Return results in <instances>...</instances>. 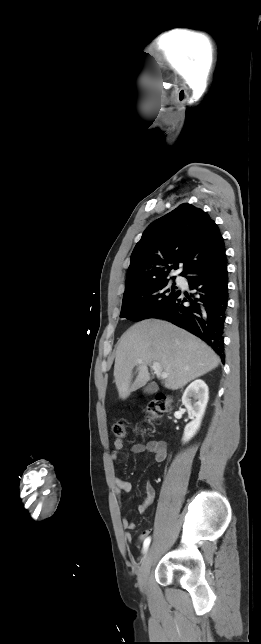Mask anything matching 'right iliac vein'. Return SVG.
Returning a JSON list of instances; mask_svg holds the SVG:
<instances>
[{
  "label": "right iliac vein",
  "instance_id": "1",
  "mask_svg": "<svg viewBox=\"0 0 261 644\" xmlns=\"http://www.w3.org/2000/svg\"><path fill=\"white\" fill-rule=\"evenodd\" d=\"M152 562H153V551L150 548L146 552L145 558L143 560V563L140 569L139 577H138L139 588L143 593H145L147 590V580L152 566Z\"/></svg>",
  "mask_w": 261,
  "mask_h": 644
}]
</instances>
